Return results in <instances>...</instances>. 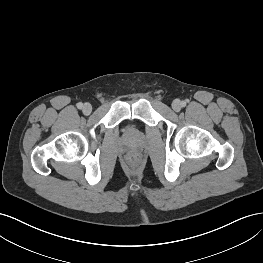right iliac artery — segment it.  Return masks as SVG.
Masks as SVG:
<instances>
[{"label": "right iliac artery", "instance_id": "82829eb1", "mask_svg": "<svg viewBox=\"0 0 263 263\" xmlns=\"http://www.w3.org/2000/svg\"><path fill=\"white\" fill-rule=\"evenodd\" d=\"M82 107H83V104H82L81 102H79V103L77 104V108H78V109H82Z\"/></svg>", "mask_w": 263, "mask_h": 263}]
</instances>
